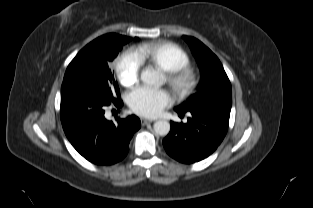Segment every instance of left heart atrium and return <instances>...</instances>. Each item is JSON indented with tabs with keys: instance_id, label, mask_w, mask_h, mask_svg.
<instances>
[{
	"instance_id": "1",
	"label": "left heart atrium",
	"mask_w": 313,
	"mask_h": 208,
	"mask_svg": "<svg viewBox=\"0 0 313 208\" xmlns=\"http://www.w3.org/2000/svg\"><path fill=\"white\" fill-rule=\"evenodd\" d=\"M171 96L164 89L139 87L128 96L133 112L146 117H156L171 104Z\"/></svg>"
}]
</instances>
